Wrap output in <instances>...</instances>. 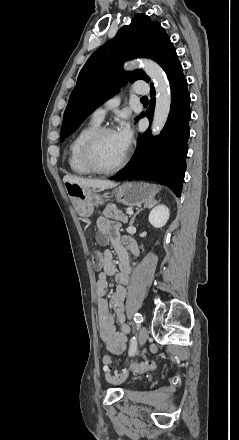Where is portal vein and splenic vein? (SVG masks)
<instances>
[{
	"mask_svg": "<svg viewBox=\"0 0 239 440\" xmlns=\"http://www.w3.org/2000/svg\"><path fill=\"white\" fill-rule=\"evenodd\" d=\"M133 212H134L133 210H128V212H126V214H128V215L133 214Z\"/></svg>",
	"mask_w": 239,
	"mask_h": 440,
	"instance_id": "portal-vein-and-splenic-vein-1",
	"label": "portal vein and splenic vein"
}]
</instances>
